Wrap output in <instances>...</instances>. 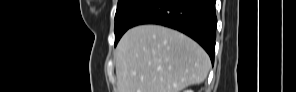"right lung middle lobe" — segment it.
Here are the masks:
<instances>
[{"label":"right lung middle lobe","mask_w":296,"mask_h":92,"mask_svg":"<svg viewBox=\"0 0 296 92\" xmlns=\"http://www.w3.org/2000/svg\"><path fill=\"white\" fill-rule=\"evenodd\" d=\"M154 0H118L115 15V46L122 35L132 27L134 20Z\"/></svg>","instance_id":"right-lung-middle-lobe-1"}]
</instances>
